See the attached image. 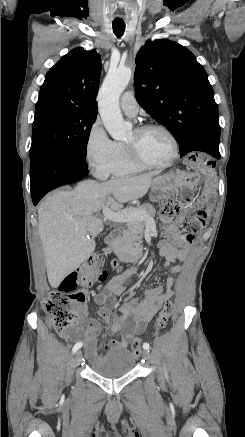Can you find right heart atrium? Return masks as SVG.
<instances>
[{"label":"right heart atrium","instance_id":"obj_1","mask_svg":"<svg viewBox=\"0 0 245 437\" xmlns=\"http://www.w3.org/2000/svg\"><path fill=\"white\" fill-rule=\"evenodd\" d=\"M116 155V142L110 139L104 126L96 120L88 131L85 160L98 177H107Z\"/></svg>","mask_w":245,"mask_h":437}]
</instances>
